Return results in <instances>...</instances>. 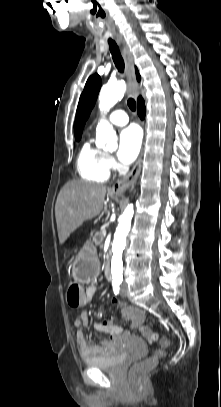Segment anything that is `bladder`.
Returning <instances> with one entry per match:
<instances>
[{"label": "bladder", "mask_w": 221, "mask_h": 407, "mask_svg": "<svg viewBox=\"0 0 221 407\" xmlns=\"http://www.w3.org/2000/svg\"><path fill=\"white\" fill-rule=\"evenodd\" d=\"M140 352H146V344L141 339H134ZM127 356L120 350L116 349L109 355L98 358V359H89L84 363L88 367L97 368L104 371H117L121 365L125 362Z\"/></svg>", "instance_id": "1"}]
</instances>
